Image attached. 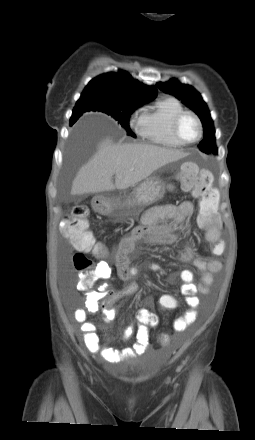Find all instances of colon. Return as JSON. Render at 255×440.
<instances>
[{
  "label": "colon",
  "mask_w": 255,
  "mask_h": 440,
  "mask_svg": "<svg viewBox=\"0 0 255 440\" xmlns=\"http://www.w3.org/2000/svg\"><path fill=\"white\" fill-rule=\"evenodd\" d=\"M178 182L181 188L191 192L192 196L199 201L200 219L208 223L216 215L219 202L218 192L212 188L213 176L208 169H199L194 164H186L182 167ZM88 209L84 206H75L71 213L63 219L60 229L69 244L76 250L73 255V265L81 274L77 287L81 290L89 288L97 279V265L93 267L92 260L86 252L95 249L103 254V248L95 241L89 228ZM158 304L162 311H177L179 308L178 298H159ZM159 345L162 351L170 349L171 338L168 334H159Z\"/></svg>",
  "instance_id": "obj_1"
}]
</instances>
